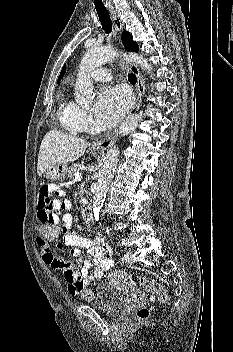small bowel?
<instances>
[{
	"mask_svg": "<svg viewBox=\"0 0 233 352\" xmlns=\"http://www.w3.org/2000/svg\"><path fill=\"white\" fill-rule=\"evenodd\" d=\"M71 204L64 197L58 184H46L40 189L37 217L39 222H47L58 228L62 239L53 250L47 243L37 238L43 261L61 271L67 283L68 292L77 294L92 281L102 277L104 271L113 267L110 247L103 244V237L96 240L84 237L71 229ZM64 246L73 247L71 255L77 258L73 264L63 256ZM81 248L85 252H81Z\"/></svg>",
	"mask_w": 233,
	"mask_h": 352,
	"instance_id": "obj_1",
	"label": "small bowel"
}]
</instances>
